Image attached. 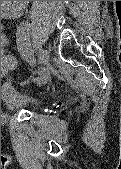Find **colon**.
<instances>
[{
	"label": "colon",
	"mask_w": 121,
	"mask_h": 169,
	"mask_svg": "<svg viewBox=\"0 0 121 169\" xmlns=\"http://www.w3.org/2000/svg\"><path fill=\"white\" fill-rule=\"evenodd\" d=\"M16 66V58L11 53H5L2 56L1 61V70L2 72H7L9 70L14 69Z\"/></svg>",
	"instance_id": "5ec220e1"
}]
</instances>
